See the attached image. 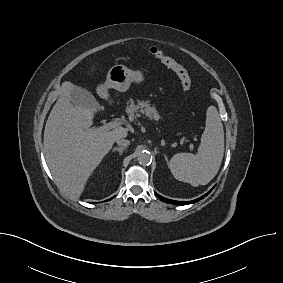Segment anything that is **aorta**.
I'll use <instances>...</instances> for the list:
<instances>
[{
	"instance_id": "obj_1",
	"label": "aorta",
	"mask_w": 283,
	"mask_h": 283,
	"mask_svg": "<svg viewBox=\"0 0 283 283\" xmlns=\"http://www.w3.org/2000/svg\"><path fill=\"white\" fill-rule=\"evenodd\" d=\"M137 160L139 162V164L146 166L149 165L152 161V156L150 154V152L148 151H142L139 153Z\"/></svg>"
}]
</instances>
